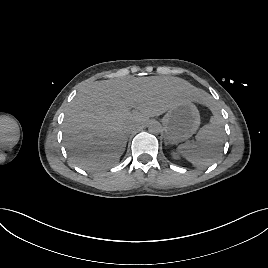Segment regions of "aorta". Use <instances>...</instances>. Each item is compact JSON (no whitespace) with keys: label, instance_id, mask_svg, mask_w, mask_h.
I'll return each instance as SVG.
<instances>
[{"label":"aorta","instance_id":"1","mask_svg":"<svg viewBox=\"0 0 268 268\" xmlns=\"http://www.w3.org/2000/svg\"><path fill=\"white\" fill-rule=\"evenodd\" d=\"M148 131L152 134H159L162 132V125L158 121H152L149 123Z\"/></svg>","mask_w":268,"mask_h":268}]
</instances>
